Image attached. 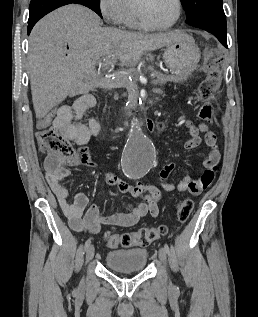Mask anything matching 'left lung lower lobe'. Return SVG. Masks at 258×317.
Returning a JSON list of instances; mask_svg holds the SVG:
<instances>
[{
  "label": "left lung lower lobe",
  "instance_id": "left-lung-lower-lobe-1",
  "mask_svg": "<svg viewBox=\"0 0 258 317\" xmlns=\"http://www.w3.org/2000/svg\"><path fill=\"white\" fill-rule=\"evenodd\" d=\"M204 29L210 33H212L213 35H215L218 40L225 46L227 47V39H226V29H219V28H211V27H207V28H201Z\"/></svg>",
  "mask_w": 258,
  "mask_h": 317
}]
</instances>
